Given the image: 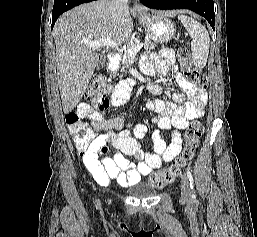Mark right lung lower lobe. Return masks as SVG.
<instances>
[{
    "mask_svg": "<svg viewBox=\"0 0 257 237\" xmlns=\"http://www.w3.org/2000/svg\"><path fill=\"white\" fill-rule=\"evenodd\" d=\"M94 0H54V6L52 11V28L57 18L65 11L80 5L82 3L91 2Z\"/></svg>",
    "mask_w": 257,
    "mask_h": 237,
    "instance_id": "obj_1",
    "label": "right lung lower lobe"
}]
</instances>
